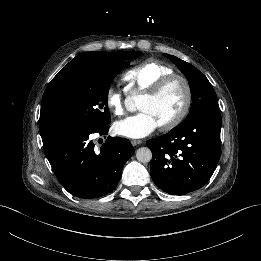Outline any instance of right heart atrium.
<instances>
[{
    "label": "right heart atrium",
    "mask_w": 261,
    "mask_h": 261,
    "mask_svg": "<svg viewBox=\"0 0 261 261\" xmlns=\"http://www.w3.org/2000/svg\"><path fill=\"white\" fill-rule=\"evenodd\" d=\"M107 107L119 117L127 114V99L124 92L116 89H109L106 94Z\"/></svg>",
    "instance_id": "1"
}]
</instances>
